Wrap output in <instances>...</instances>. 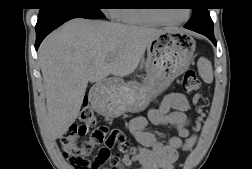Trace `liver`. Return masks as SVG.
<instances>
[{
  "label": "liver",
  "instance_id": "obj_1",
  "mask_svg": "<svg viewBox=\"0 0 252 169\" xmlns=\"http://www.w3.org/2000/svg\"><path fill=\"white\" fill-rule=\"evenodd\" d=\"M163 31L75 18L49 34L41 43L38 56L50 137H62L76 120L88 82H100L109 75L132 74L149 43Z\"/></svg>",
  "mask_w": 252,
  "mask_h": 169
}]
</instances>
